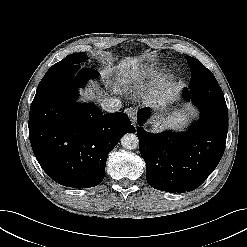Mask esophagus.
Masks as SVG:
<instances>
[{"instance_id":"34e87169","label":"esophagus","mask_w":247,"mask_h":247,"mask_svg":"<svg viewBox=\"0 0 247 247\" xmlns=\"http://www.w3.org/2000/svg\"><path fill=\"white\" fill-rule=\"evenodd\" d=\"M125 112L128 114L132 124L136 125L137 110L135 108H128V109L125 110Z\"/></svg>"}]
</instances>
